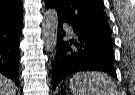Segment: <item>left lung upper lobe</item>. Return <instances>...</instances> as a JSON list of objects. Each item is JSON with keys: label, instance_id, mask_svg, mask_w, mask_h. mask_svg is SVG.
Listing matches in <instances>:
<instances>
[{"label": "left lung upper lobe", "instance_id": "5c2ea615", "mask_svg": "<svg viewBox=\"0 0 135 95\" xmlns=\"http://www.w3.org/2000/svg\"><path fill=\"white\" fill-rule=\"evenodd\" d=\"M45 5L74 26L111 32L102 0H45Z\"/></svg>", "mask_w": 135, "mask_h": 95}]
</instances>
